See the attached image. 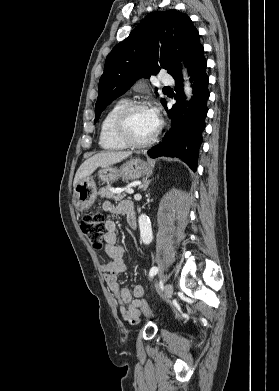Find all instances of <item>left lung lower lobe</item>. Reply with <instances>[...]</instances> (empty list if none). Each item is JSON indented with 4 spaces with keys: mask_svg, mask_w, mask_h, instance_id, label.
Returning a JSON list of instances; mask_svg holds the SVG:
<instances>
[{
    "mask_svg": "<svg viewBox=\"0 0 279 391\" xmlns=\"http://www.w3.org/2000/svg\"><path fill=\"white\" fill-rule=\"evenodd\" d=\"M207 61L203 46L197 51L188 66V72L193 82V96L187 110L183 90L182 75L175 77L176 103L168 111L167 102L163 104L172 119V127L166 133L163 141L148 151L151 157L170 156L182 159L193 171H196L198 152L205 129V118L208 112L206 106L209 98V78L205 72ZM185 115L183 116V111Z\"/></svg>",
    "mask_w": 279,
    "mask_h": 391,
    "instance_id": "left-lung-lower-lobe-1",
    "label": "left lung lower lobe"
}]
</instances>
